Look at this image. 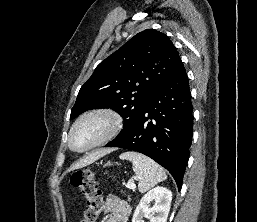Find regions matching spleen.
<instances>
[{"label":"spleen","mask_w":257,"mask_h":222,"mask_svg":"<svg viewBox=\"0 0 257 222\" xmlns=\"http://www.w3.org/2000/svg\"><path fill=\"white\" fill-rule=\"evenodd\" d=\"M120 159L132 162L133 171L139 179L138 189L141 193L148 191L167 178L164 169L160 165L141 153L128 151L122 153Z\"/></svg>","instance_id":"1"}]
</instances>
